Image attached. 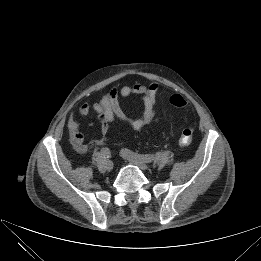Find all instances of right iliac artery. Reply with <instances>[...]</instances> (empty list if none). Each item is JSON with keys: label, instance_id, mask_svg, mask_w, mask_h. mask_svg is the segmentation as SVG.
<instances>
[{"label": "right iliac artery", "instance_id": "right-iliac-artery-1", "mask_svg": "<svg viewBox=\"0 0 261 261\" xmlns=\"http://www.w3.org/2000/svg\"><path fill=\"white\" fill-rule=\"evenodd\" d=\"M101 157L104 159L111 157V152H110L109 148L105 147V148L101 149Z\"/></svg>", "mask_w": 261, "mask_h": 261}]
</instances>
